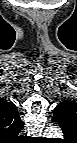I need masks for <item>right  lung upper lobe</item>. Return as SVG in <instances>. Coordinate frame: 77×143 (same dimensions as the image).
<instances>
[{
    "label": "right lung upper lobe",
    "mask_w": 77,
    "mask_h": 143,
    "mask_svg": "<svg viewBox=\"0 0 77 143\" xmlns=\"http://www.w3.org/2000/svg\"><path fill=\"white\" fill-rule=\"evenodd\" d=\"M23 129V122L16 106L7 101H0V131L3 134L17 136Z\"/></svg>",
    "instance_id": "1"
}]
</instances>
